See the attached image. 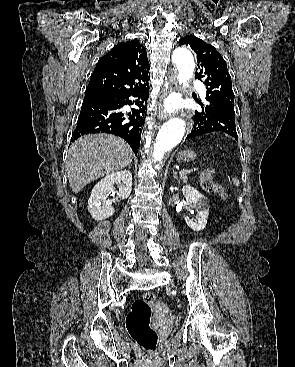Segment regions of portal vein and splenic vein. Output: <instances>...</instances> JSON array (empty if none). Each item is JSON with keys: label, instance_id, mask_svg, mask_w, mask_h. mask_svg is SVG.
Listing matches in <instances>:
<instances>
[{"label": "portal vein and splenic vein", "instance_id": "1", "mask_svg": "<svg viewBox=\"0 0 295 367\" xmlns=\"http://www.w3.org/2000/svg\"><path fill=\"white\" fill-rule=\"evenodd\" d=\"M197 170H198L197 168H193V169H190V170H188V169H183V170H181V171L179 172V175H180V176H183V175H186V174H188V173H190V172L197 171Z\"/></svg>", "mask_w": 295, "mask_h": 367}]
</instances>
